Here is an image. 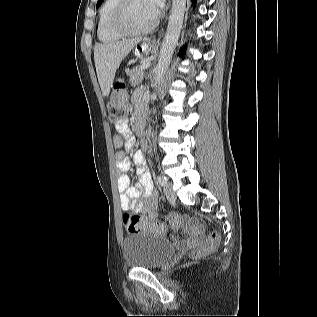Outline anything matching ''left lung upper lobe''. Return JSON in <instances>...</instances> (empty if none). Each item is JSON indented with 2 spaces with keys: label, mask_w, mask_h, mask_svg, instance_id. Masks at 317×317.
Returning a JSON list of instances; mask_svg holds the SVG:
<instances>
[{
  "label": "left lung upper lobe",
  "mask_w": 317,
  "mask_h": 317,
  "mask_svg": "<svg viewBox=\"0 0 317 317\" xmlns=\"http://www.w3.org/2000/svg\"><path fill=\"white\" fill-rule=\"evenodd\" d=\"M103 1H104V0H98V2H97V7L100 6Z\"/></svg>",
  "instance_id": "5c2ea615"
}]
</instances>
